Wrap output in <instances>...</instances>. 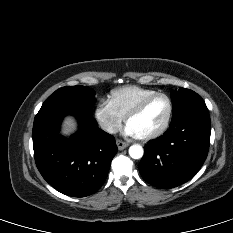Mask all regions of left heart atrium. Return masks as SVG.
Instances as JSON below:
<instances>
[{
	"instance_id": "obj_1",
	"label": "left heart atrium",
	"mask_w": 233,
	"mask_h": 233,
	"mask_svg": "<svg viewBox=\"0 0 233 233\" xmlns=\"http://www.w3.org/2000/svg\"><path fill=\"white\" fill-rule=\"evenodd\" d=\"M125 132H126V134H128V135H130V136H135V137L138 136V135L135 133V131H134L129 125L126 126Z\"/></svg>"
}]
</instances>
